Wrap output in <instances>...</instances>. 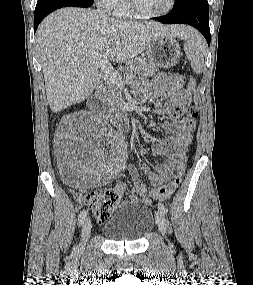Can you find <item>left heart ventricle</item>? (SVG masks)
Wrapping results in <instances>:
<instances>
[{
  "label": "left heart ventricle",
  "mask_w": 253,
  "mask_h": 285,
  "mask_svg": "<svg viewBox=\"0 0 253 285\" xmlns=\"http://www.w3.org/2000/svg\"><path fill=\"white\" fill-rule=\"evenodd\" d=\"M171 0H137L139 8L145 13H160L166 10Z\"/></svg>",
  "instance_id": "left-heart-ventricle-1"
}]
</instances>
